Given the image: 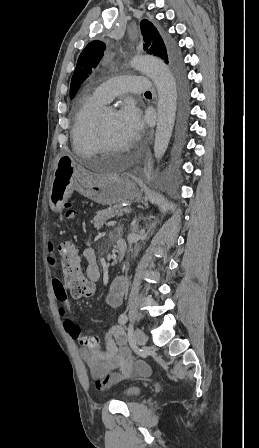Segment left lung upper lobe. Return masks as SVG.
<instances>
[{
  "label": "left lung upper lobe",
  "mask_w": 259,
  "mask_h": 448,
  "mask_svg": "<svg viewBox=\"0 0 259 448\" xmlns=\"http://www.w3.org/2000/svg\"><path fill=\"white\" fill-rule=\"evenodd\" d=\"M141 32L144 38V50L154 56L165 60V63H171L174 57L173 47L170 44L165 45L156 27L148 20H142L140 23ZM105 45L103 42L95 40L89 43L80 54L77 67L75 68L71 85L70 98H73L80 87V84L92 72L103 56Z\"/></svg>",
  "instance_id": "obj_1"
}]
</instances>
